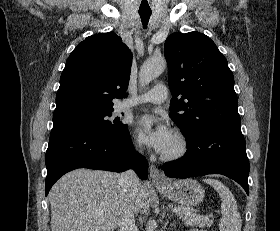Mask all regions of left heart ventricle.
Masks as SVG:
<instances>
[{"instance_id":"obj_1","label":"left heart ventricle","mask_w":280,"mask_h":231,"mask_svg":"<svg viewBox=\"0 0 280 231\" xmlns=\"http://www.w3.org/2000/svg\"><path fill=\"white\" fill-rule=\"evenodd\" d=\"M174 145H175V140L173 141V143L171 144V146L168 148L166 152L171 151L174 148Z\"/></svg>"}]
</instances>
